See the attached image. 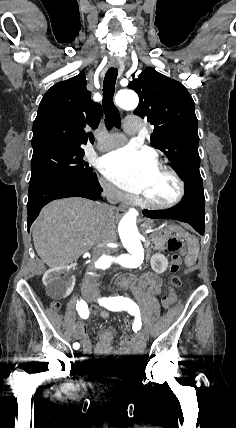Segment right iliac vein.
<instances>
[{
  "mask_svg": "<svg viewBox=\"0 0 236 428\" xmlns=\"http://www.w3.org/2000/svg\"><path fill=\"white\" fill-rule=\"evenodd\" d=\"M86 299H87V300H89V299H90V300H93V299H95V298H94V296H93V295H91V294H90V295H88V296H87V298H86ZM80 346H83V339H80Z\"/></svg>",
  "mask_w": 236,
  "mask_h": 428,
  "instance_id": "63e3f726",
  "label": "right iliac vein"
}]
</instances>
